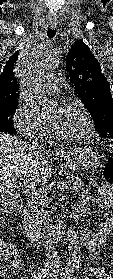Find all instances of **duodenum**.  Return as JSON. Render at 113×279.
<instances>
[{
	"mask_svg": "<svg viewBox=\"0 0 113 279\" xmlns=\"http://www.w3.org/2000/svg\"><path fill=\"white\" fill-rule=\"evenodd\" d=\"M85 211L86 205L79 203L58 224L38 226L32 222L29 209L23 207L21 209L22 232L28 240L34 243L56 244L61 241L63 234L69 228L72 221L81 217ZM84 242L87 243V238L84 239Z\"/></svg>",
	"mask_w": 113,
	"mask_h": 279,
	"instance_id": "duodenum-1",
	"label": "duodenum"
}]
</instances>
